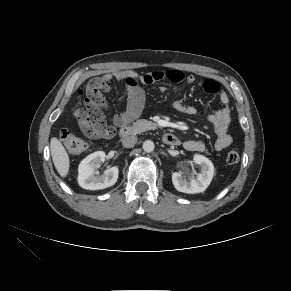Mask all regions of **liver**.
Masks as SVG:
<instances>
[{
	"label": "liver",
	"instance_id": "obj_1",
	"mask_svg": "<svg viewBox=\"0 0 291 291\" xmlns=\"http://www.w3.org/2000/svg\"><path fill=\"white\" fill-rule=\"evenodd\" d=\"M50 150L55 168L61 177H66L70 167L69 155L60 140L56 137L51 138Z\"/></svg>",
	"mask_w": 291,
	"mask_h": 291
}]
</instances>
